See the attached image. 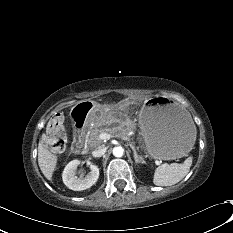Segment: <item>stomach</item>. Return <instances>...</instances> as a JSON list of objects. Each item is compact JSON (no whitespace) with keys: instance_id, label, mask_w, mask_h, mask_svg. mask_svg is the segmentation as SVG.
Wrapping results in <instances>:
<instances>
[{"instance_id":"1","label":"stomach","mask_w":233,"mask_h":233,"mask_svg":"<svg viewBox=\"0 0 233 233\" xmlns=\"http://www.w3.org/2000/svg\"><path fill=\"white\" fill-rule=\"evenodd\" d=\"M116 112L95 107L89 115L95 123L113 119ZM192 115L165 98L146 102L139 114L144 149L154 159L171 160L196 149L199 134Z\"/></svg>"}]
</instances>
